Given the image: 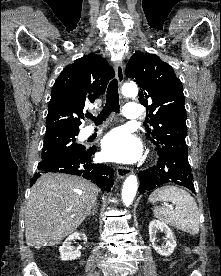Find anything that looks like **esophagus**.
<instances>
[{
    "label": "esophagus",
    "mask_w": 221,
    "mask_h": 276,
    "mask_svg": "<svg viewBox=\"0 0 221 276\" xmlns=\"http://www.w3.org/2000/svg\"><path fill=\"white\" fill-rule=\"evenodd\" d=\"M114 69L118 83L121 85L124 81V68L122 62L116 61L114 63ZM116 174L119 179H123L130 174V170L127 167L119 166L116 170Z\"/></svg>",
    "instance_id": "1"
}]
</instances>
